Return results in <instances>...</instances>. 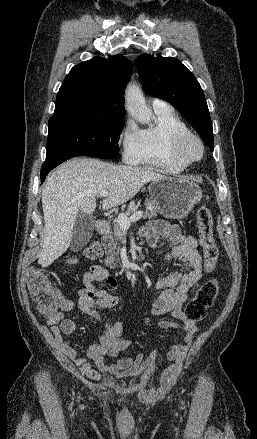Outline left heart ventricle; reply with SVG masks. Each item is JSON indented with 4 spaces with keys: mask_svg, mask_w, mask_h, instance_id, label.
I'll return each mask as SVG.
<instances>
[{
    "mask_svg": "<svg viewBox=\"0 0 257 439\" xmlns=\"http://www.w3.org/2000/svg\"><path fill=\"white\" fill-rule=\"evenodd\" d=\"M187 153L191 157H198L200 154V148L196 143H190L187 147Z\"/></svg>",
    "mask_w": 257,
    "mask_h": 439,
    "instance_id": "1",
    "label": "left heart ventricle"
}]
</instances>
